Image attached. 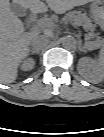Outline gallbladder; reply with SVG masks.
Instances as JSON below:
<instances>
[{
  "label": "gallbladder",
  "mask_w": 104,
  "mask_h": 137,
  "mask_svg": "<svg viewBox=\"0 0 104 137\" xmlns=\"http://www.w3.org/2000/svg\"><path fill=\"white\" fill-rule=\"evenodd\" d=\"M10 10L19 17H23L27 14V10L25 8L14 3L10 5Z\"/></svg>",
  "instance_id": "bac80fb5"
}]
</instances>
